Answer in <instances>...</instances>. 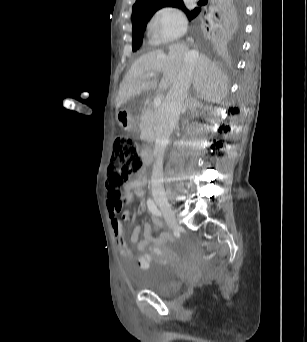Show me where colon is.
<instances>
[{
  "label": "colon",
  "mask_w": 307,
  "mask_h": 342,
  "mask_svg": "<svg viewBox=\"0 0 307 342\" xmlns=\"http://www.w3.org/2000/svg\"><path fill=\"white\" fill-rule=\"evenodd\" d=\"M141 166V155L135 138L127 135L117 137L112 162L108 169L107 190L111 200V207L121 200L122 186L130 175L136 173Z\"/></svg>",
  "instance_id": "obj_1"
}]
</instances>
